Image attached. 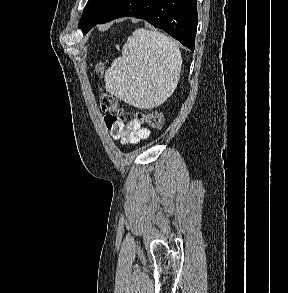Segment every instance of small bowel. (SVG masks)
<instances>
[{
    "label": "small bowel",
    "mask_w": 288,
    "mask_h": 293,
    "mask_svg": "<svg viewBox=\"0 0 288 293\" xmlns=\"http://www.w3.org/2000/svg\"><path fill=\"white\" fill-rule=\"evenodd\" d=\"M104 123L113 138L122 144H137L150 136V131L136 120L120 118L113 112L106 111Z\"/></svg>",
    "instance_id": "1"
}]
</instances>
